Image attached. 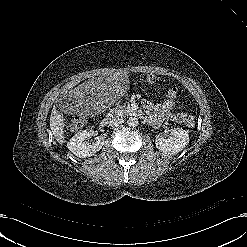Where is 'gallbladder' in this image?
<instances>
[{
    "mask_svg": "<svg viewBox=\"0 0 247 247\" xmlns=\"http://www.w3.org/2000/svg\"><path fill=\"white\" fill-rule=\"evenodd\" d=\"M65 99L68 97V94L67 95H64ZM63 111L67 112L69 110H71V106L70 105H66V106H63Z\"/></svg>",
    "mask_w": 247,
    "mask_h": 247,
    "instance_id": "bac80fb5",
    "label": "gallbladder"
}]
</instances>
